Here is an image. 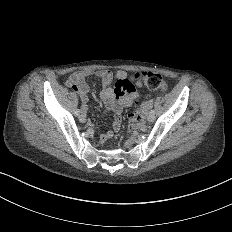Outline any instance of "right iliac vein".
<instances>
[{
	"instance_id": "obj_1",
	"label": "right iliac vein",
	"mask_w": 232,
	"mask_h": 232,
	"mask_svg": "<svg viewBox=\"0 0 232 232\" xmlns=\"http://www.w3.org/2000/svg\"><path fill=\"white\" fill-rule=\"evenodd\" d=\"M78 121L82 122L83 124H86L88 122V119L84 115H79Z\"/></svg>"
}]
</instances>
